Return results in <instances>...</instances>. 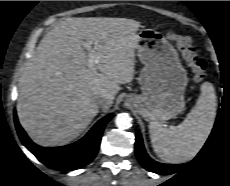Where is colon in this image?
Listing matches in <instances>:
<instances>
[{"instance_id":"1","label":"colon","mask_w":230,"mask_h":186,"mask_svg":"<svg viewBox=\"0 0 230 186\" xmlns=\"http://www.w3.org/2000/svg\"><path fill=\"white\" fill-rule=\"evenodd\" d=\"M168 38L175 43L180 51L184 61L193 73L194 80L202 82L208 76L209 65L193 47L191 39L173 32L168 34Z\"/></svg>"}]
</instances>
